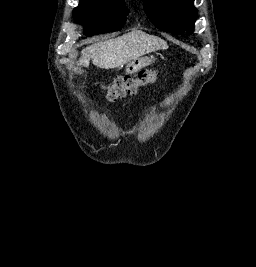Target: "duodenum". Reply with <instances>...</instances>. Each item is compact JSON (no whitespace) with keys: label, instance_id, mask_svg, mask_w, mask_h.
I'll return each mask as SVG.
<instances>
[{"label":"duodenum","instance_id":"410a0bca","mask_svg":"<svg viewBox=\"0 0 256 267\" xmlns=\"http://www.w3.org/2000/svg\"><path fill=\"white\" fill-rule=\"evenodd\" d=\"M134 71H139V66H127L128 74L134 73Z\"/></svg>","mask_w":256,"mask_h":267}]
</instances>
